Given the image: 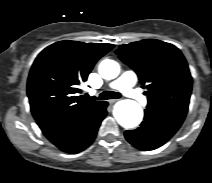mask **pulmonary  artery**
Listing matches in <instances>:
<instances>
[{
  "mask_svg": "<svg viewBox=\"0 0 212 183\" xmlns=\"http://www.w3.org/2000/svg\"><path fill=\"white\" fill-rule=\"evenodd\" d=\"M138 80V76L134 71L124 72L118 79L111 82L108 87L111 89L119 90L125 96L134 99L140 104H147L146 97L135 89V84Z\"/></svg>",
  "mask_w": 212,
  "mask_h": 183,
  "instance_id": "1",
  "label": "pulmonary artery"
}]
</instances>
